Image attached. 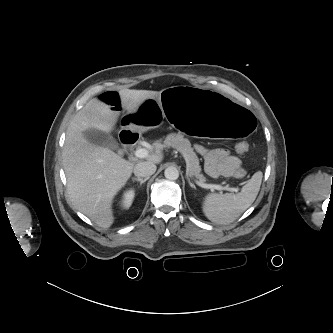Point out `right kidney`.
I'll return each instance as SVG.
<instances>
[{"label":"right kidney","instance_id":"right-kidney-1","mask_svg":"<svg viewBox=\"0 0 333 333\" xmlns=\"http://www.w3.org/2000/svg\"><path fill=\"white\" fill-rule=\"evenodd\" d=\"M134 190H128L123 194L122 200H121V206L123 208H129L132 204V201L134 199Z\"/></svg>","mask_w":333,"mask_h":333}]
</instances>
